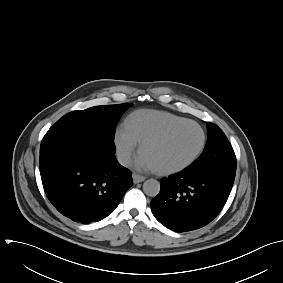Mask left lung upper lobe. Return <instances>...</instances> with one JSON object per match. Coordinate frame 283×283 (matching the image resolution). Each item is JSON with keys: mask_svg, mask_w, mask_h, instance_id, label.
I'll return each instance as SVG.
<instances>
[{"mask_svg": "<svg viewBox=\"0 0 283 283\" xmlns=\"http://www.w3.org/2000/svg\"><path fill=\"white\" fill-rule=\"evenodd\" d=\"M208 140L204 151L185 170L193 173L221 172L236 174V157L232 146L222 130L207 122Z\"/></svg>", "mask_w": 283, "mask_h": 283, "instance_id": "left-lung-upper-lobe-1", "label": "left lung upper lobe"}]
</instances>
